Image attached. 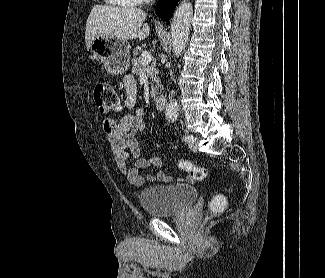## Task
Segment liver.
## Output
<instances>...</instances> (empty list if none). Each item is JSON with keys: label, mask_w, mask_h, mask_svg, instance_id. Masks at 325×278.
Segmentation results:
<instances>
[{"label": "liver", "mask_w": 325, "mask_h": 278, "mask_svg": "<svg viewBox=\"0 0 325 278\" xmlns=\"http://www.w3.org/2000/svg\"><path fill=\"white\" fill-rule=\"evenodd\" d=\"M145 19L146 13L141 9L95 5L86 22V47L90 49L93 39L98 35H109L124 40L138 37L143 40L150 33L147 23L142 27Z\"/></svg>", "instance_id": "1"}]
</instances>
